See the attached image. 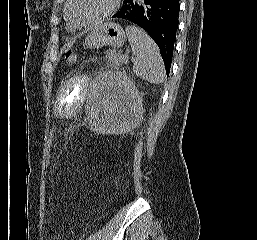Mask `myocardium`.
Segmentation results:
<instances>
[{"mask_svg": "<svg viewBox=\"0 0 257 240\" xmlns=\"http://www.w3.org/2000/svg\"><path fill=\"white\" fill-rule=\"evenodd\" d=\"M73 3V0H66V5H65V15L66 18L68 20V22L77 29H84V28H89L92 26H95L101 22H103L105 19H107L110 15H112V13L116 10L118 4H119V0H111L110 6L108 7V9L106 11H104L101 15H99L98 17L85 22V23H79L77 21L74 20V18L71 15V5Z\"/></svg>", "mask_w": 257, "mask_h": 240, "instance_id": "f54148a6", "label": "myocardium"}]
</instances>
